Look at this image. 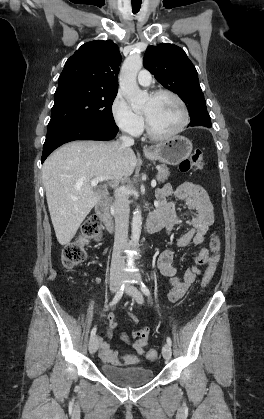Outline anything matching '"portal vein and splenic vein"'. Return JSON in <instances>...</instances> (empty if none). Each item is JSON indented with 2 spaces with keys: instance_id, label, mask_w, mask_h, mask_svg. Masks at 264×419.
<instances>
[{
  "instance_id": "18ae733b",
  "label": "portal vein and splenic vein",
  "mask_w": 264,
  "mask_h": 419,
  "mask_svg": "<svg viewBox=\"0 0 264 419\" xmlns=\"http://www.w3.org/2000/svg\"><path fill=\"white\" fill-rule=\"evenodd\" d=\"M105 180H108V178L105 177V176H101L99 178L93 179L91 181V187H95L99 182H102V181H105ZM151 186H152V188H155L156 187V181L155 180H153L151 182Z\"/></svg>"
}]
</instances>
